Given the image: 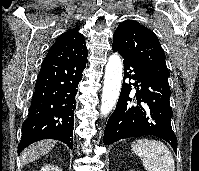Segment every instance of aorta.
Returning <instances> with one entry per match:
<instances>
[{"instance_id": "obj_1", "label": "aorta", "mask_w": 199, "mask_h": 171, "mask_svg": "<svg viewBox=\"0 0 199 171\" xmlns=\"http://www.w3.org/2000/svg\"><path fill=\"white\" fill-rule=\"evenodd\" d=\"M122 83V61L117 54L109 57L104 77L100 112L106 116L115 106Z\"/></svg>"}]
</instances>
